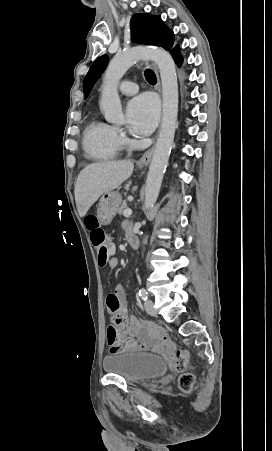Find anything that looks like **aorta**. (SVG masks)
<instances>
[{"instance_id": "obj_1", "label": "aorta", "mask_w": 272, "mask_h": 451, "mask_svg": "<svg viewBox=\"0 0 272 451\" xmlns=\"http://www.w3.org/2000/svg\"><path fill=\"white\" fill-rule=\"evenodd\" d=\"M138 60H153L160 72L163 98V116L159 138L153 150V156L146 180L145 208H153L160 192L164 172L169 160L178 114V84L175 64L168 52L161 48H130L122 54H116L109 62L103 76L99 108L106 122L122 124L124 116L117 84L127 70Z\"/></svg>"}]
</instances>
